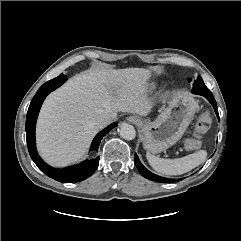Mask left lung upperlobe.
I'll return each mask as SVG.
<instances>
[{
  "instance_id": "5c2ea615",
  "label": "left lung upper lobe",
  "mask_w": 241,
  "mask_h": 241,
  "mask_svg": "<svg viewBox=\"0 0 241 241\" xmlns=\"http://www.w3.org/2000/svg\"><path fill=\"white\" fill-rule=\"evenodd\" d=\"M195 82H197L198 84L203 85L204 87H206L204 82H203V80H202V78L200 76H198V78H197V80Z\"/></svg>"
}]
</instances>
